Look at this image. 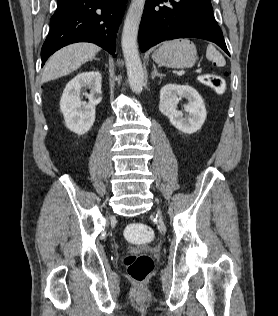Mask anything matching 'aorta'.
Returning <instances> with one entry per match:
<instances>
[{
    "instance_id": "1",
    "label": "aorta",
    "mask_w": 278,
    "mask_h": 316,
    "mask_svg": "<svg viewBox=\"0 0 278 316\" xmlns=\"http://www.w3.org/2000/svg\"><path fill=\"white\" fill-rule=\"evenodd\" d=\"M145 0H132L128 9L122 32V50L127 68L130 88L141 93L144 85L142 62L138 52L137 36Z\"/></svg>"
}]
</instances>
